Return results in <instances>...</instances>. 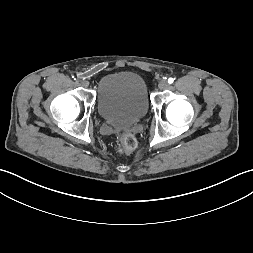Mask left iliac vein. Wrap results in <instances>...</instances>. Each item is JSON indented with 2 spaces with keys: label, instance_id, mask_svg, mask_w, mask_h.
Segmentation results:
<instances>
[{
  "label": "left iliac vein",
  "instance_id": "left-iliac-vein-1",
  "mask_svg": "<svg viewBox=\"0 0 253 253\" xmlns=\"http://www.w3.org/2000/svg\"><path fill=\"white\" fill-rule=\"evenodd\" d=\"M169 86L168 82L166 80H161L158 84L159 89L165 90Z\"/></svg>",
  "mask_w": 253,
  "mask_h": 253
}]
</instances>
